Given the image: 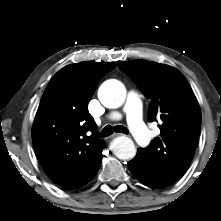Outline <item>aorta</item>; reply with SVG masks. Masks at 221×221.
<instances>
[{"mask_svg":"<svg viewBox=\"0 0 221 221\" xmlns=\"http://www.w3.org/2000/svg\"><path fill=\"white\" fill-rule=\"evenodd\" d=\"M98 98L106 108H119L125 102V86L116 79L106 80L98 89ZM111 149L114 155L121 160H129L136 155V148L133 141L126 136H120L114 139Z\"/></svg>","mask_w":221,"mask_h":221,"instance_id":"1","label":"aorta"}]
</instances>
